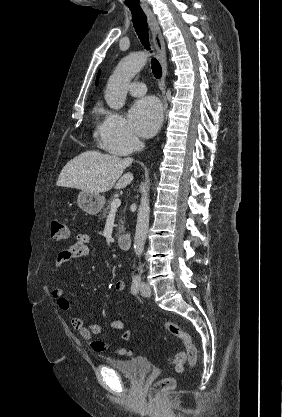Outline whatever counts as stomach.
I'll return each mask as SVG.
<instances>
[{"label": "stomach", "mask_w": 282, "mask_h": 417, "mask_svg": "<svg viewBox=\"0 0 282 417\" xmlns=\"http://www.w3.org/2000/svg\"><path fill=\"white\" fill-rule=\"evenodd\" d=\"M77 202L84 213H88V215H97V213H100L101 209H103L106 198L105 196H102V194H94V192L82 190V192H79L78 194Z\"/></svg>", "instance_id": "obj_1"}]
</instances>
